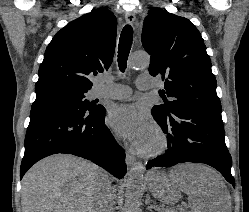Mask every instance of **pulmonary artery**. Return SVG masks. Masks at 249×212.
I'll return each mask as SVG.
<instances>
[{"label":"pulmonary artery","instance_id":"pulmonary-artery-1","mask_svg":"<svg viewBox=\"0 0 249 212\" xmlns=\"http://www.w3.org/2000/svg\"><path fill=\"white\" fill-rule=\"evenodd\" d=\"M147 75H140L136 80L139 90H148L155 87L154 82L145 83ZM132 90L129 86L115 83L109 76L100 74L97 76V83L90 91L91 98L125 99L129 97Z\"/></svg>","mask_w":249,"mask_h":212}]
</instances>
